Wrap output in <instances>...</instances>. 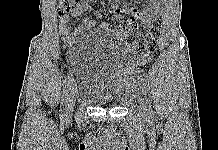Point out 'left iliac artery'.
I'll return each mask as SVG.
<instances>
[{"mask_svg":"<svg viewBox=\"0 0 218 150\" xmlns=\"http://www.w3.org/2000/svg\"><path fill=\"white\" fill-rule=\"evenodd\" d=\"M140 87H141V90H142V92H143V94H147V92H148V86H147V83H146V80H145V78H141L140 79ZM151 110V109H150ZM152 113H153V111L151 110L150 111V114L152 115Z\"/></svg>","mask_w":218,"mask_h":150,"instance_id":"44dca946","label":"left iliac artery"}]
</instances>
